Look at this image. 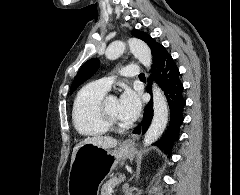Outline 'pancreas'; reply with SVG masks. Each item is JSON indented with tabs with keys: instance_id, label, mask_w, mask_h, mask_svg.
I'll use <instances>...</instances> for the list:
<instances>
[{
	"instance_id": "obj_1",
	"label": "pancreas",
	"mask_w": 240,
	"mask_h": 195,
	"mask_svg": "<svg viewBox=\"0 0 240 195\" xmlns=\"http://www.w3.org/2000/svg\"><path fill=\"white\" fill-rule=\"evenodd\" d=\"M124 177H112V179H108L106 183H103L101 187V195H111L108 187H115V185H118L120 181H123Z\"/></svg>"
}]
</instances>
